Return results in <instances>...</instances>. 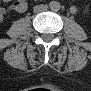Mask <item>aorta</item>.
Wrapping results in <instances>:
<instances>
[{
  "label": "aorta",
  "instance_id": "aorta-1",
  "mask_svg": "<svg viewBox=\"0 0 91 91\" xmlns=\"http://www.w3.org/2000/svg\"><path fill=\"white\" fill-rule=\"evenodd\" d=\"M49 6L52 10H55V11L59 10L61 7L60 3L57 1H51Z\"/></svg>",
  "mask_w": 91,
  "mask_h": 91
}]
</instances>
